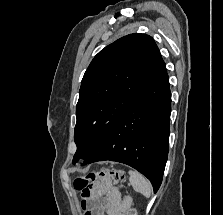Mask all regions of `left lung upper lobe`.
Segmentation results:
<instances>
[{
    "label": "left lung upper lobe",
    "instance_id": "left-lung-upper-lobe-1",
    "mask_svg": "<svg viewBox=\"0 0 223 215\" xmlns=\"http://www.w3.org/2000/svg\"><path fill=\"white\" fill-rule=\"evenodd\" d=\"M163 64L155 41L145 34L124 36L94 57L76 106L73 164L79 158L88 162Z\"/></svg>",
    "mask_w": 223,
    "mask_h": 215
}]
</instances>
